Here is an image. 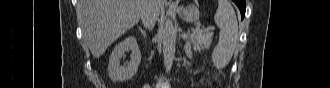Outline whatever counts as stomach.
<instances>
[{"label":"stomach","mask_w":330,"mask_h":88,"mask_svg":"<svg viewBox=\"0 0 330 88\" xmlns=\"http://www.w3.org/2000/svg\"><path fill=\"white\" fill-rule=\"evenodd\" d=\"M177 13L182 20L190 23L197 21L200 16L199 8L194 4L187 5L186 7L179 6Z\"/></svg>","instance_id":"1"}]
</instances>
